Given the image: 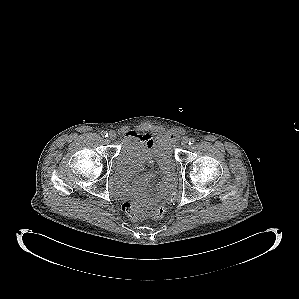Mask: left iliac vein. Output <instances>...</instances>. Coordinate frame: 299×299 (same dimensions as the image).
I'll return each mask as SVG.
<instances>
[{"mask_svg":"<svg viewBox=\"0 0 299 299\" xmlns=\"http://www.w3.org/2000/svg\"><path fill=\"white\" fill-rule=\"evenodd\" d=\"M181 145L184 147V148H187L188 145H189V139L187 137H184L181 141Z\"/></svg>","mask_w":299,"mask_h":299,"instance_id":"left-iliac-vein-1","label":"left iliac vein"}]
</instances>
